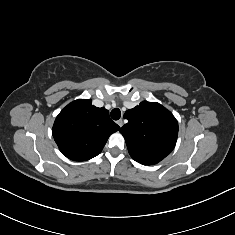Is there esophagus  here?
<instances>
[{"label":"esophagus","instance_id":"esophagus-1","mask_svg":"<svg viewBox=\"0 0 235 235\" xmlns=\"http://www.w3.org/2000/svg\"><path fill=\"white\" fill-rule=\"evenodd\" d=\"M117 124L119 125V127H122L123 126V120L122 119H119L117 121Z\"/></svg>","mask_w":235,"mask_h":235}]
</instances>
